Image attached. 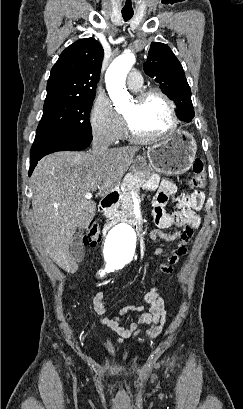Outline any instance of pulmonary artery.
<instances>
[{"label": "pulmonary artery", "instance_id": "1", "mask_svg": "<svg viewBox=\"0 0 243 409\" xmlns=\"http://www.w3.org/2000/svg\"><path fill=\"white\" fill-rule=\"evenodd\" d=\"M142 75L138 71H131L127 77L128 87L132 90H137L142 86Z\"/></svg>", "mask_w": 243, "mask_h": 409}]
</instances>
